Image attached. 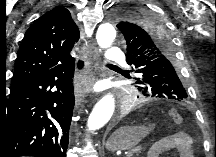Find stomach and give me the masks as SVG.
Segmentation results:
<instances>
[{
    "label": "stomach",
    "mask_w": 216,
    "mask_h": 157,
    "mask_svg": "<svg viewBox=\"0 0 216 157\" xmlns=\"http://www.w3.org/2000/svg\"><path fill=\"white\" fill-rule=\"evenodd\" d=\"M151 129V127L144 126L122 127L110 136L106 147L110 151L129 150L145 137Z\"/></svg>",
    "instance_id": "0dacf381"
}]
</instances>
